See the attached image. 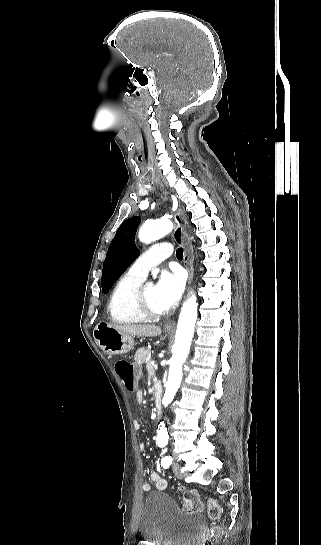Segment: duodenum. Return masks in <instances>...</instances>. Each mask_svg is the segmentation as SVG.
I'll use <instances>...</instances> for the list:
<instances>
[{
    "label": "duodenum",
    "instance_id": "410a0bca",
    "mask_svg": "<svg viewBox=\"0 0 321 545\" xmlns=\"http://www.w3.org/2000/svg\"><path fill=\"white\" fill-rule=\"evenodd\" d=\"M162 396H163V391H162V387L160 384H155L154 386V398H155V402H156V405L159 409H161V405H162Z\"/></svg>",
    "mask_w": 321,
    "mask_h": 545
}]
</instances>
